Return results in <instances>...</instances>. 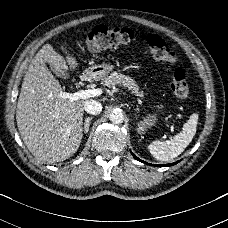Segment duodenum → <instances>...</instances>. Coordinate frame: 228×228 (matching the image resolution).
Listing matches in <instances>:
<instances>
[{
    "label": "duodenum",
    "instance_id": "duodenum-1",
    "mask_svg": "<svg viewBox=\"0 0 228 228\" xmlns=\"http://www.w3.org/2000/svg\"><path fill=\"white\" fill-rule=\"evenodd\" d=\"M92 77V72L91 71H87L84 74L81 75V79L82 80H86V79H90Z\"/></svg>",
    "mask_w": 228,
    "mask_h": 228
}]
</instances>
